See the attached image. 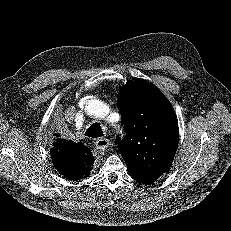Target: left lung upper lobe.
I'll return each mask as SVG.
<instances>
[{
	"instance_id": "obj_1",
	"label": "left lung upper lobe",
	"mask_w": 231,
	"mask_h": 231,
	"mask_svg": "<svg viewBox=\"0 0 231 231\" xmlns=\"http://www.w3.org/2000/svg\"><path fill=\"white\" fill-rule=\"evenodd\" d=\"M126 135L117 147L131 174L162 175L172 164L178 140V121L163 93L145 80L121 87L117 100Z\"/></svg>"
}]
</instances>
